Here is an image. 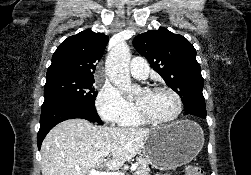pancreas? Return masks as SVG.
I'll return each mask as SVG.
<instances>
[{
    "label": "pancreas",
    "instance_id": "cf45deb5",
    "mask_svg": "<svg viewBox=\"0 0 251 175\" xmlns=\"http://www.w3.org/2000/svg\"><path fill=\"white\" fill-rule=\"evenodd\" d=\"M137 169L134 175H150V167L145 157H136Z\"/></svg>",
    "mask_w": 251,
    "mask_h": 175
}]
</instances>
